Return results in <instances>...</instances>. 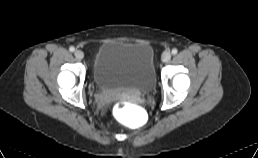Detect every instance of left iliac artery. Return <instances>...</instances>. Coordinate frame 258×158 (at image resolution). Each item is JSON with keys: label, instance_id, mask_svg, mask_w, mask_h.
<instances>
[{"label": "left iliac artery", "instance_id": "1", "mask_svg": "<svg viewBox=\"0 0 258 158\" xmlns=\"http://www.w3.org/2000/svg\"><path fill=\"white\" fill-rule=\"evenodd\" d=\"M177 52H178V50H177L176 48H173L172 51H171V53H172L173 55H176Z\"/></svg>", "mask_w": 258, "mask_h": 158}]
</instances>
